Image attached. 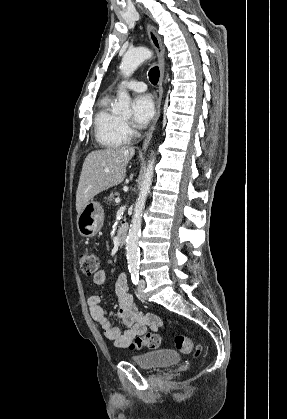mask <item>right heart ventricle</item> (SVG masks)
<instances>
[{"label":"right heart ventricle","instance_id":"right-heart-ventricle-1","mask_svg":"<svg viewBox=\"0 0 287 419\" xmlns=\"http://www.w3.org/2000/svg\"><path fill=\"white\" fill-rule=\"evenodd\" d=\"M109 96L101 98L94 116V132L98 144L105 148H116L128 142L122 129V120L110 110Z\"/></svg>","mask_w":287,"mask_h":419}]
</instances>
